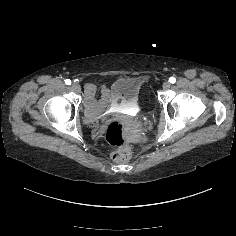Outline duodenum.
I'll return each instance as SVG.
<instances>
[{
    "label": "duodenum",
    "instance_id": "duodenum-1",
    "mask_svg": "<svg viewBox=\"0 0 236 236\" xmlns=\"http://www.w3.org/2000/svg\"><path fill=\"white\" fill-rule=\"evenodd\" d=\"M108 96L106 93L102 92V98L97 100L95 98L94 89H91L86 94V114L90 119L96 118L105 111V105Z\"/></svg>",
    "mask_w": 236,
    "mask_h": 236
}]
</instances>
